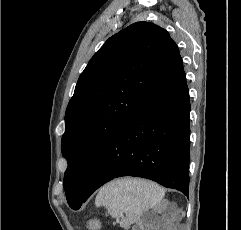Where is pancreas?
I'll return each instance as SVG.
<instances>
[{"label":"pancreas","instance_id":"obj_1","mask_svg":"<svg viewBox=\"0 0 241 230\" xmlns=\"http://www.w3.org/2000/svg\"><path fill=\"white\" fill-rule=\"evenodd\" d=\"M120 225H121V227H126V225H127V224H126V221H124V220L121 221V222H120Z\"/></svg>","mask_w":241,"mask_h":230}]
</instances>
